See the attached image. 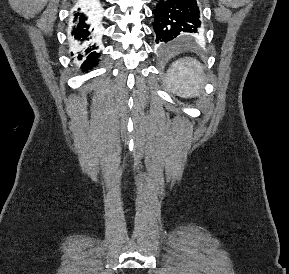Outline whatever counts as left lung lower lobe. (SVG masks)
<instances>
[{"instance_id":"obj_1","label":"left lung lower lobe","mask_w":289,"mask_h":274,"mask_svg":"<svg viewBox=\"0 0 289 274\" xmlns=\"http://www.w3.org/2000/svg\"><path fill=\"white\" fill-rule=\"evenodd\" d=\"M156 42L173 45L201 35L197 0H157L153 9Z\"/></svg>"}]
</instances>
